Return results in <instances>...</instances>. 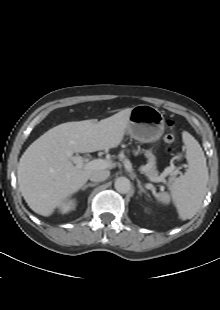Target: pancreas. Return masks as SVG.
Here are the masks:
<instances>
[{"label":"pancreas","instance_id":"1","mask_svg":"<svg viewBox=\"0 0 220 310\" xmlns=\"http://www.w3.org/2000/svg\"><path fill=\"white\" fill-rule=\"evenodd\" d=\"M144 173L149 178H156V177H158V172L156 170L155 160H154L153 157H150L149 163L144 168ZM171 175H174V174L171 173Z\"/></svg>","mask_w":220,"mask_h":310}]
</instances>
